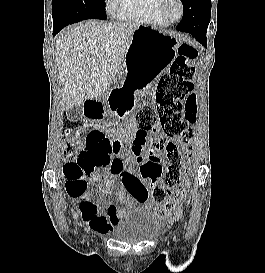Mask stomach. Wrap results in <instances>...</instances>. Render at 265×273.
Returning <instances> with one entry per match:
<instances>
[{
  "label": "stomach",
  "instance_id": "1",
  "mask_svg": "<svg viewBox=\"0 0 265 273\" xmlns=\"http://www.w3.org/2000/svg\"><path fill=\"white\" fill-rule=\"evenodd\" d=\"M178 45L171 35L153 27L140 26L132 35L123 61L122 81L116 89L144 90V86H149L154 78H160L165 73Z\"/></svg>",
  "mask_w": 265,
  "mask_h": 273
}]
</instances>
